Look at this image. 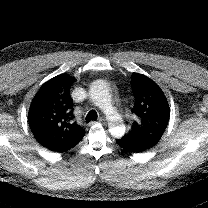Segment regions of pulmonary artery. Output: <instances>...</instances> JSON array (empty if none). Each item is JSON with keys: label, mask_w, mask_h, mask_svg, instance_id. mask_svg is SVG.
I'll return each mask as SVG.
<instances>
[{"label": "pulmonary artery", "mask_w": 208, "mask_h": 208, "mask_svg": "<svg viewBox=\"0 0 208 208\" xmlns=\"http://www.w3.org/2000/svg\"><path fill=\"white\" fill-rule=\"evenodd\" d=\"M120 101L119 100H114L113 101V108L117 113H120Z\"/></svg>", "instance_id": "obj_1"}]
</instances>
